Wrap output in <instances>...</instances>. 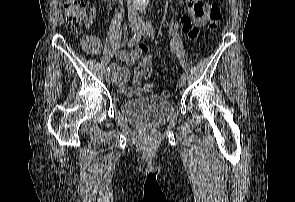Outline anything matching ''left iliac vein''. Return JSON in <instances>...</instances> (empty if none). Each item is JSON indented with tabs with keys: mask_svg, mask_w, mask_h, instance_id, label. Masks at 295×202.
<instances>
[{
	"mask_svg": "<svg viewBox=\"0 0 295 202\" xmlns=\"http://www.w3.org/2000/svg\"><path fill=\"white\" fill-rule=\"evenodd\" d=\"M139 28L142 29V30L144 31V33H145L146 26H145L142 22L139 23ZM185 84H186V79H184V78L181 77V78L179 79V81H178V85H179L180 87H184Z\"/></svg>",
	"mask_w": 295,
	"mask_h": 202,
	"instance_id": "left-iliac-vein-1",
	"label": "left iliac vein"
}]
</instances>
